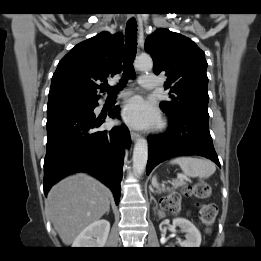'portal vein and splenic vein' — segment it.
I'll return each mask as SVG.
<instances>
[{
  "mask_svg": "<svg viewBox=\"0 0 261 261\" xmlns=\"http://www.w3.org/2000/svg\"><path fill=\"white\" fill-rule=\"evenodd\" d=\"M179 177H180V180H179V181L175 180V181L173 182V184H180V183L183 182V178H185V177L182 176V175H180ZM185 179H186V178H185Z\"/></svg>",
  "mask_w": 261,
  "mask_h": 261,
  "instance_id": "portal-vein-and-splenic-vein-1",
  "label": "portal vein and splenic vein"
}]
</instances>
